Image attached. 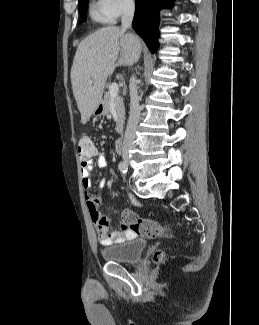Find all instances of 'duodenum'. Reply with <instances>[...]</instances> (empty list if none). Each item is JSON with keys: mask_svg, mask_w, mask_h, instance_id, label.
Listing matches in <instances>:
<instances>
[{"mask_svg": "<svg viewBox=\"0 0 259 325\" xmlns=\"http://www.w3.org/2000/svg\"><path fill=\"white\" fill-rule=\"evenodd\" d=\"M123 144H124L123 138L117 139L115 143V150L117 153H121L123 151Z\"/></svg>", "mask_w": 259, "mask_h": 325, "instance_id": "duodenum-1", "label": "duodenum"}]
</instances>
